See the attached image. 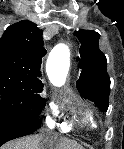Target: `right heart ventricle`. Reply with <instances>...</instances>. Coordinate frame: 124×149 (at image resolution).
I'll list each match as a JSON object with an SVG mask.
<instances>
[{
  "label": "right heart ventricle",
  "mask_w": 124,
  "mask_h": 149,
  "mask_svg": "<svg viewBox=\"0 0 124 149\" xmlns=\"http://www.w3.org/2000/svg\"><path fill=\"white\" fill-rule=\"evenodd\" d=\"M81 123L87 131H95L99 128V124L96 118L94 117L93 113L90 111H87L84 113ZM62 129L64 131H68L69 127L64 125Z\"/></svg>",
  "instance_id": "1"
}]
</instances>
